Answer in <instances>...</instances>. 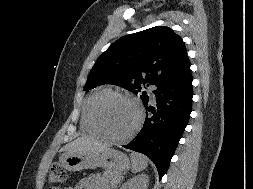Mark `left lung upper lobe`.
Returning <instances> with one entry per match:
<instances>
[{"label":"left lung upper lobe","mask_w":253,"mask_h":189,"mask_svg":"<svg viewBox=\"0 0 253 189\" xmlns=\"http://www.w3.org/2000/svg\"><path fill=\"white\" fill-rule=\"evenodd\" d=\"M186 58L185 45L172 29L149 28L114 42L98 58L84 90L102 84L118 85L136 95L141 84H152L158 89L177 73ZM140 98L144 104L149 101L146 92Z\"/></svg>","instance_id":"obj_1"}]
</instances>
